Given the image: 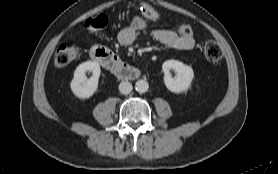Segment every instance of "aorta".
Here are the masks:
<instances>
[{
	"label": "aorta",
	"instance_id": "aorta-1",
	"mask_svg": "<svg viewBox=\"0 0 278 174\" xmlns=\"http://www.w3.org/2000/svg\"><path fill=\"white\" fill-rule=\"evenodd\" d=\"M148 82L146 80H138L135 84V90L139 93H145L148 90Z\"/></svg>",
	"mask_w": 278,
	"mask_h": 174
}]
</instances>
